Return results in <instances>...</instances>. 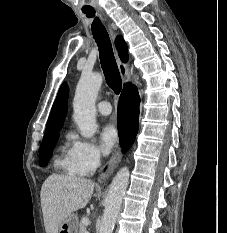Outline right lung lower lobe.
I'll list each match as a JSON object with an SVG mask.
<instances>
[{"mask_svg": "<svg viewBox=\"0 0 227 233\" xmlns=\"http://www.w3.org/2000/svg\"><path fill=\"white\" fill-rule=\"evenodd\" d=\"M136 87L127 84L120 96L118 104V131L123 151L132 146L138 131L139 101L134 100Z\"/></svg>", "mask_w": 227, "mask_h": 233, "instance_id": "1", "label": "right lung lower lobe"}]
</instances>
